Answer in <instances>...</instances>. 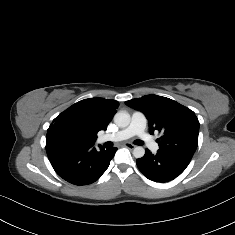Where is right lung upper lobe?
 Listing matches in <instances>:
<instances>
[{
  "label": "right lung upper lobe",
  "mask_w": 235,
  "mask_h": 235,
  "mask_svg": "<svg viewBox=\"0 0 235 235\" xmlns=\"http://www.w3.org/2000/svg\"><path fill=\"white\" fill-rule=\"evenodd\" d=\"M119 103L104 98L81 100L59 114L47 130L46 144L64 141L66 130H73L80 138L78 143L94 144L97 133L106 130L117 112Z\"/></svg>",
  "instance_id": "right-lung-upper-lobe-1"
}]
</instances>
